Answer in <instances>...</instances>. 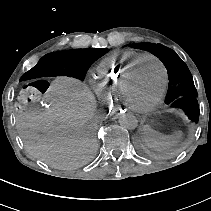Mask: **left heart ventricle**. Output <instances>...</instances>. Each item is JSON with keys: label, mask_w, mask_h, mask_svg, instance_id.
<instances>
[{"label": "left heart ventricle", "mask_w": 211, "mask_h": 211, "mask_svg": "<svg viewBox=\"0 0 211 211\" xmlns=\"http://www.w3.org/2000/svg\"><path fill=\"white\" fill-rule=\"evenodd\" d=\"M162 88V71L154 60H145L138 67L130 83L128 97L138 106H148L160 94Z\"/></svg>", "instance_id": "1"}]
</instances>
